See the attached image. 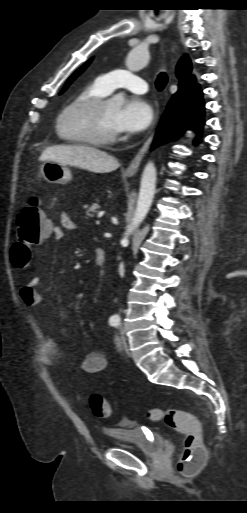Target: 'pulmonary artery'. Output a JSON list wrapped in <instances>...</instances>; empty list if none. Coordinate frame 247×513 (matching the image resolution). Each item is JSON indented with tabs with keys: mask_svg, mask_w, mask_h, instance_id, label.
<instances>
[{
	"mask_svg": "<svg viewBox=\"0 0 247 513\" xmlns=\"http://www.w3.org/2000/svg\"><path fill=\"white\" fill-rule=\"evenodd\" d=\"M96 81L107 93L116 88H126L138 94H144L148 90V84L145 80L125 69L113 70L103 74Z\"/></svg>",
	"mask_w": 247,
	"mask_h": 513,
	"instance_id": "obj_1",
	"label": "pulmonary artery"
}]
</instances>
